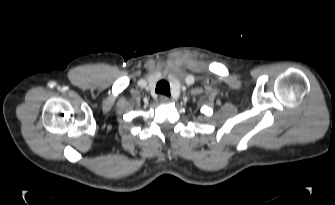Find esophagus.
<instances>
[{
    "mask_svg": "<svg viewBox=\"0 0 335 205\" xmlns=\"http://www.w3.org/2000/svg\"><path fill=\"white\" fill-rule=\"evenodd\" d=\"M159 99L161 103H168L170 100L169 97L166 95H161Z\"/></svg>",
    "mask_w": 335,
    "mask_h": 205,
    "instance_id": "esophagus-1",
    "label": "esophagus"
}]
</instances>
